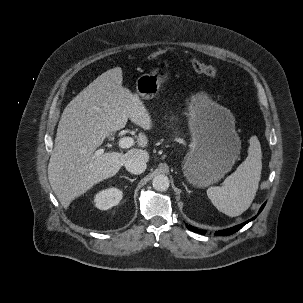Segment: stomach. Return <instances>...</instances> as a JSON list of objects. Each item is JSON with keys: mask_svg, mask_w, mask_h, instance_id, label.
<instances>
[{"mask_svg": "<svg viewBox=\"0 0 303 303\" xmlns=\"http://www.w3.org/2000/svg\"><path fill=\"white\" fill-rule=\"evenodd\" d=\"M169 78L170 73L162 68L141 75L136 81L138 96L152 99ZM187 116L191 143L182 163L183 173L192 185L207 187L223 178L240 154L241 141L235 131V118L230 110L213 102L205 92L190 97Z\"/></svg>", "mask_w": 303, "mask_h": 303, "instance_id": "0dacf381", "label": "stomach"}]
</instances>
